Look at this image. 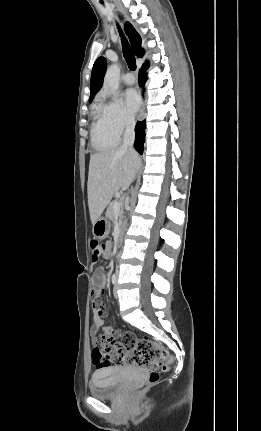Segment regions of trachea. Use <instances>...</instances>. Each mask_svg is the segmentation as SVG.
<instances>
[{"instance_id": "obj_1", "label": "trachea", "mask_w": 261, "mask_h": 431, "mask_svg": "<svg viewBox=\"0 0 261 431\" xmlns=\"http://www.w3.org/2000/svg\"><path fill=\"white\" fill-rule=\"evenodd\" d=\"M119 31L121 32V30ZM121 36H122V33H121ZM122 46H123L124 58L128 64V67L134 71L136 69L135 56L130 45L127 43L124 37H122Z\"/></svg>"}]
</instances>
